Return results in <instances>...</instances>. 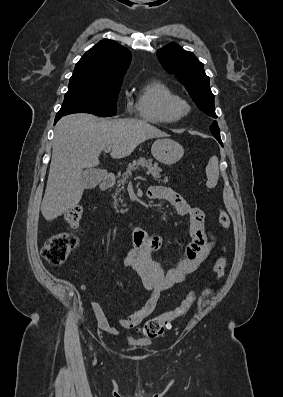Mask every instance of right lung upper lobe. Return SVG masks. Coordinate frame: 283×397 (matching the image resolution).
I'll list each match as a JSON object with an SVG mask.
<instances>
[{
  "label": "right lung upper lobe",
  "mask_w": 283,
  "mask_h": 397,
  "mask_svg": "<svg viewBox=\"0 0 283 397\" xmlns=\"http://www.w3.org/2000/svg\"><path fill=\"white\" fill-rule=\"evenodd\" d=\"M130 62L128 49L113 40L104 39L82 56L73 74L103 80L123 79Z\"/></svg>",
  "instance_id": "cb5924a9"
}]
</instances>
